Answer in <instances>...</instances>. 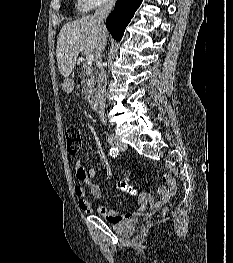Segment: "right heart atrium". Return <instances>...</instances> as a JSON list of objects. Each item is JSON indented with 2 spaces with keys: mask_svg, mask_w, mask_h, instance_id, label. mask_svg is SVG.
<instances>
[{
  "mask_svg": "<svg viewBox=\"0 0 233 263\" xmlns=\"http://www.w3.org/2000/svg\"><path fill=\"white\" fill-rule=\"evenodd\" d=\"M78 7L82 11H88L101 5H110L115 0H77Z\"/></svg>",
  "mask_w": 233,
  "mask_h": 263,
  "instance_id": "d8ad5b80",
  "label": "right heart atrium"
}]
</instances>
